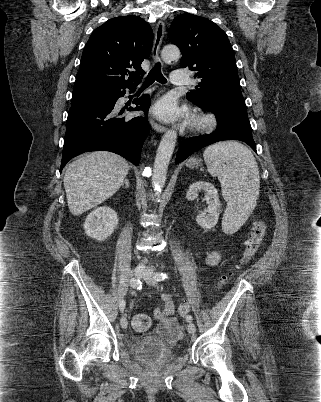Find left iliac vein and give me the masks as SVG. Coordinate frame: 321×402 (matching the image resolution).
<instances>
[{"mask_svg":"<svg viewBox=\"0 0 321 402\" xmlns=\"http://www.w3.org/2000/svg\"><path fill=\"white\" fill-rule=\"evenodd\" d=\"M144 280L151 284V285H156V279H155V273L152 269H147L145 271V274L143 275ZM187 330L191 335H194L196 333V326L194 323L189 322L187 325Z\"/></svg>","mask_w":321,"mask_h":402,"instance_id":"4c4485c4","label":"left iliac vein"}]
</instances>
